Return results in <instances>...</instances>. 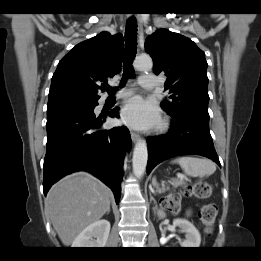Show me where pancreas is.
Here are the masks:
<instances>
[{"label": "pancreas", "instance_id": "pancreas-1", "mask_svg": "<svg viewBox=\"0 0 261 261\" xmlns=\"http://www.w3.org/2000/svg\"><path fill=\"white\" fill-rule=\"evenodd\" d=\"M179 185L183 184L182 182H178ZM162 190H159V192H161Z\"/></svg>", "mask_w": 261, "mask_h": 261}]
</instances>
